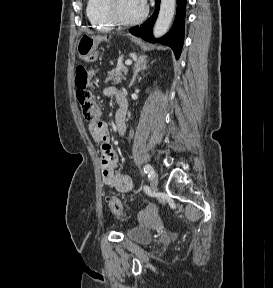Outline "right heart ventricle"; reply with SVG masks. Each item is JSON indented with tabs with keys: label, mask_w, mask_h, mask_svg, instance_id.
<instances>
[{
	"label": "right heart ventricle",
	"mask_w": 273,
	"mask_h": 288,
	"mask_svg": "<svg viewBox=\"0 0 273 288\" xmlns=\"http://www.w3.org/2000/svg\"><path fill=\"white\" fill-rule=\"evenodd\" d=\"M104 0H87L86 13L93 27L99 30H109L112 24L104 15Z\"/></svg>",
	"instance_id": "right-heart-ventricle-1"
}]
</instances>
